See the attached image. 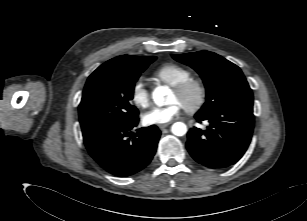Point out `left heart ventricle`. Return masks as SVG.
<instances>
[{"label": "left heart ventricle", "mask_w": 307, "mask_h": 221, "mask_svg": "<svg viewBox=\"0 0 307 221\" xmlns=\"http://www.w3.org/2000/svg\"><path fill=\"white\" fill-rule=\"evenodd\" d=\"M195 98H196V94L194 92H192V93H190L186 96H181V95L177 94L175 91H172L171 95H170V101L171 102L178 101L182 105L193 103L195 101Z\"/></svg>", "instance_id": "obj_1"}]
</instances>
